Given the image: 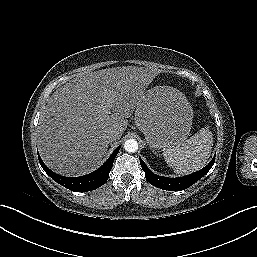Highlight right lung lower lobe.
Wrapping results in <instances>:
<instances>
[{"label": "right lung lower lobe", "mask_w": 257, "mask_h": 257, "mask_svg": "<svg viewBox=\"0 0 257 257\" xmlns=\"http://www.w3.org/2000/svg\"><path fill=\"white\" fill-rule=\"evenodd\" d=\"M121 146H118L111 154L109 159L96 171L81 177H65L51 171L41 160L39 154V162L43 170L58 184L66 187L74 192H86L99 188L108 179L109 173L113 166V161L118 154Z\"/></svg>", "instance_id": "98d812e1"}]
</instances>
